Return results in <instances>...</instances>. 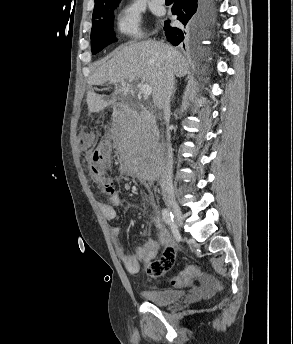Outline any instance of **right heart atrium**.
<instances>
[{
  "label": "right heart atrium",
  "mask_w": 293,
  "mask_h": 344,
  "mask_svg": "<svg viewBox=\"0 0 293 344\" xmlns=\"http://www.w3.org/2000/svg\"><path fill=\"white\" fill-rule=\"evenodd\" d=\"M114 29L124 38L141 39L144 35V26L140 11L134 6L119 10L114 18Z\"/></svg>",
  "instance_id": "1"
}]
</instances>
